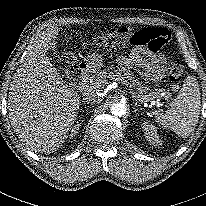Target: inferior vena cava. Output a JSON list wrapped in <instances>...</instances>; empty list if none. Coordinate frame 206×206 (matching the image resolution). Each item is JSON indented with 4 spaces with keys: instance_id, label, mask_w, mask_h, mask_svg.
Returning <instances> with one entry per match:
<instances>
[{
    "instance_id": "1",
    "label": "inferior vena cava",
    "mask_w": 206,
    "mask_h": 206,
    "mask_svg": "<svg viewBox=\"0 0 206 206\" xmlns=\"http://www.w3.org/2000/svg\"><path fill=\"white\" fill-rule=\"evenodd\" d=\"M81 92L85 96L84 99L90 100L93 103L100 101V98L95 94V90H93V88H83Z\"/></svg>"
}]
</instances>
